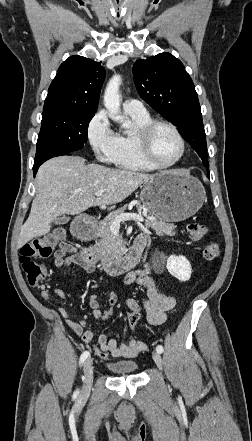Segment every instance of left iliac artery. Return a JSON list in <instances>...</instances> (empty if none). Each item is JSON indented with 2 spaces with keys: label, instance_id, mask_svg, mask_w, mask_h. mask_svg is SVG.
Returning a JSON list of instances; mask_svg holds the SVG:
<instances>
[{
  "label": "left iliac artery",
  "instance_id": "obj_1",
  "mask_svg": "<svg viewBox=\"0 0 252 441\" xmlns=\"http://www.w3.org/2000/svg\"><path fill=\"white\" fill-rule=\"evenodd\" d=\"M156 351H157L158 353H162V352H163V347H162L161 345H158V346L156 347Z\"/></svg>",
  "mask_w": 252,
  "mask_h": 441
}]
</instances>
